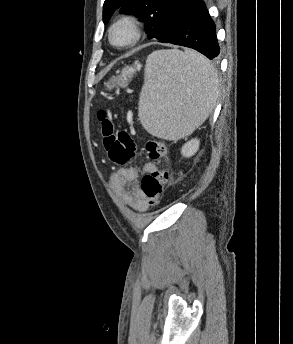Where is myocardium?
Segmentation results:
<instances>
[{
  "mask_svg": "<svg viewBox=\"0 0 293 344\" xmlns=\"http://www.w3.org/2000/svg\"><path fill=\"white\" fill-rule=\"evenodd\" d=\"M126 27L130 31V38L124 43H117L114 41V32L120 28ZM141 37V29L139 22L133 15H122L118 17L109 27L108 38L110 44L117 49H124L135 45Z\"/></svg>",
  "mask_w": 293,
  "mask_h": 344,
  "instance_id": "myocardium-1",
  "label": "myocardium"
}]
</instances>
